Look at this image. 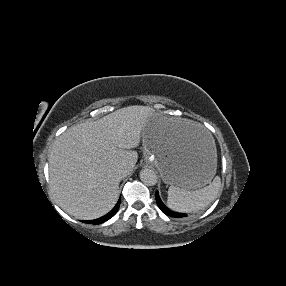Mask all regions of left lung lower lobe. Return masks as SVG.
<instances>
[{
    "instance_id": "left-lung-lower-lobe-1",
    "label": "left lung lower lobe",
    "mask_w": 286,
    "mask_h": 286,
    "mask_svg": "<svg viewBox=\"0 0 286 286\" xmlns=\"http://www.w3.org/2000/svg\"><path fill=\"white\" fill-rule=\"evenodd\" d=\"M155 197H156V201H157V204H158V207L160 208V210L165 213L166 215L168 216H171V217H184L185 214H181V213H176L174 211H171L170 209H168L164 204L163 202L161 201L160 197H159V194H158V191L155 193Z\"/></svg>"
}]
</instances>
